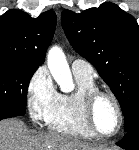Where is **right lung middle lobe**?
Here are the masks:
<instances>
[{
  "label": "right lung middle lobe",
  "mask_w": 139,
  "mask_h": 150,
  "mask_svg": "<svg viewBox=\"0 0 139 150\" xmlns=\"http://www.w3.org/2000/svg\"><path fill=\"white\" fill-rule=\"evenodd\" d=\"M38 67L0 61V116H23L26 112L27 89Z\"/></svg>",
  "instance_id": "dd1d6c3e"
}]
</instances>
